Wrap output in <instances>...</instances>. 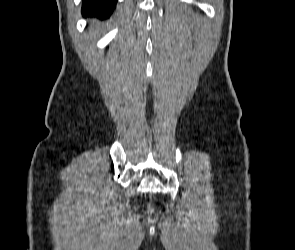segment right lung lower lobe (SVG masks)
<instances>
[{"label":"right lung lower lobe","mask_w":295,"mask_h":250,"mask_svg":"<svg viewBox=\"0 0 295 250\" xmlns=\"http://www.w3.org/2000/svg\"><path fill=\"white\" fill-rule=\"evenodd\" d=\"M117 0H83L82 15H96L108 18L115 8Z\"/></svg>","instance_id":"obj_1"}]
</instances>
